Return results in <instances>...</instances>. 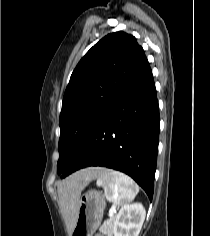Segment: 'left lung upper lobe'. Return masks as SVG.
Masks as SVG:
<instances>
[{
  "label": "left lung upper lobe",
  "mask_w": 210,
  "mask_h": 236,
  "mask_svg": "<svg viewBox=\"0 0 210 236\" xmlns=\"http://www.w3.org/2000/svg\"><path fill=\"white\" fill-rule=\"evenodd\" d=\"M148 60L136 38L114 32L96 43L74 69L59 119L58 174H62L90 128Z\"/></svg>",
  "instance_id": "1"
}]
</instances>
